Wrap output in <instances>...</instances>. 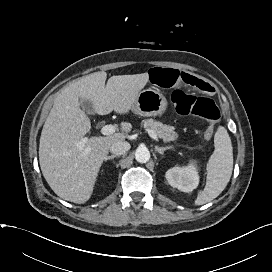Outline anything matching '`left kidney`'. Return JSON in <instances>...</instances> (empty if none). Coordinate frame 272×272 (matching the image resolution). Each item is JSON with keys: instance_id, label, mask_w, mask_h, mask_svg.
<instances>
[{"instance_id": "obj_1", "label": "left kidney", "mask_w": 272, "mask_h": 272, "mask_svg": "<svg viewBox=\"0 0 272 272\" xmlns=\"http://www.w3.org/2000/svg\"><path fill=\"white\" fill-rule=\"evenodd\" d=\"M168 183L183 192H191L199 184L198 167L196 162H190L187 166L173 167L166 172Z\"/></svg>"}]
</instances>
